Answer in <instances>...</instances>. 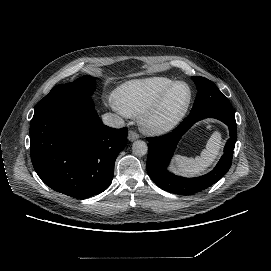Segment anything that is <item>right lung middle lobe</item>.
I'll use <instances>...</instances> for the list:
<instances>
[{
	"mask_svg": "<svg viewBox=\"0 0 271 271\" xmlns=\"http://www.w3.org/2000/svg\"><path fill=\"white\" fill-rule=\"evenodd\" d=\"M94 84L95 78L85 75L74 82L57 85L51 89L47 96L38 102L35 111L60 102L92 101L90 96L93 93Z\"/></svg>",
	"mask_w": 271,
	"mask_h": 271,
	"instance_id": "right-lung-middle-lobe-1",
	"label": "right lung middle lobe"
}]
</instances>
